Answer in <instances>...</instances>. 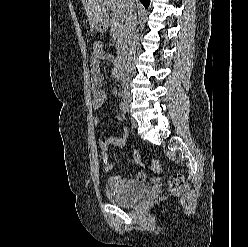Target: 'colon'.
I'll use <instances>...</instances> for the list:
<instances>
[{
	"instance_id": "1",
	"label": "colon",
	"mask_w": 248,
	"mask_h": 247,
	"mask_svg": "<svg viewBox=\"0 0 248 247\" xmlns=\"http://www.w3.org/2000/svg\"><path fill=\"white\" fill-rule=\"evenodd\" d=\"M93 50L94 52H101L103 50V44L101 41H96L93 45ZM133 159L136 163L142 165V158L141 155L138 151H134L133 152ZM150 166L153 172L155 173H159L162 170V165L158 160H151L150 162ZM184 183V176L181 174H175L171 177L170 179V189L172 191H176L179 188H181V186Z\"/></svg>"
}]
</instances>
